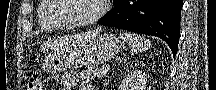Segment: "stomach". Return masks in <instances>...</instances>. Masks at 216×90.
Returning a JSON list of instances; mask_svg holds the SVG:
<instances>
[{"label": "stomach", "instance_id": "1", "mask_svg": "<svg viewBox=\"0 0 216 90\" xmlns=\"http://www.w3.org/2000/svg\"><path fill=\"white\" fill-rule=\"evenodd\" d=\"M120 48L121 42L113 34L93 35L74 54L48 56L42 68L47 73L57 74L70 67L97 66L112 59Z\"/></svg>", "mask_w": 216, "mask_h": 90}]
</instances>
